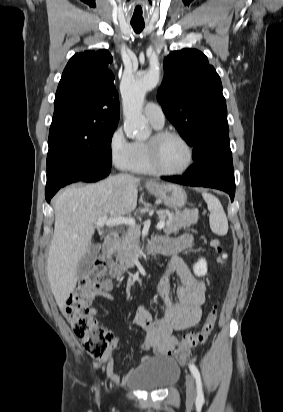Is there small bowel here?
<instances>
[{
	"label": "small bowel",
	"mask_w": 283,
	"mask_h": 412,
	"mask_svg": "<svg viewBox=\"0 0 283 412\" xmlns=\"http://www.w3.org/2000/svg\"><path fill=\"white\" fill-rule=\"evenodd\" d=\"M157 243L167 244L173 247L172 258L168 268L161 280L158 297L163 306V315L158 320H153L151 313L144 307L139 306L135 312L133 323L146 332L145 339L141 344L143 350L152 351L156 356H175L180 364H184L188 351L178 352L175 349L174 331L195 328L201 319V305L205 301V283L195 277L189 270L186 262L179 256L181 253L191 251L194 247V238L191 234H183L177 238H156ZM177 276L180 284L175 289L176 301L172 299L173 276ZM114 282L111 279L104 280L98 295L108 302L114 300L110 290ZM93 314L96 308H91ZM121 346L116 337H113L109 350L102 358L106 362V371L111 381L123 386L127 382L126 377H120L115 372V361L113 352ZM149 356L141 357V362L148 361Z\"/></svg>",
	"instance_id": "1"
}]
</instances>
